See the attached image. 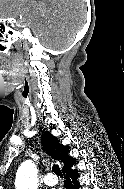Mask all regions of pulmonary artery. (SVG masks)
<instances>
[{
    "mask_svg": "<svg viewBox=\"0 0 124 189\" xmlns=\"http://www.w3.org/2000/svg\"><path fill=\"white\" fill-rule=\"evenodd\" d=\"M43 181L47 186H54L58 183V178L54 174L48 173Z\"/></svg>",
    "mask_w": 124,
    "mask_h": 189,
    "instance_id": "1",
    "label": "pulmonary artery"
}]
</instances>
